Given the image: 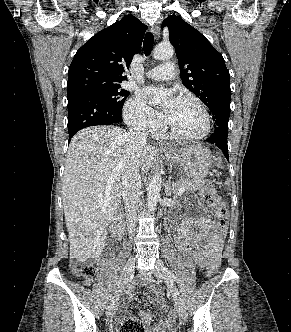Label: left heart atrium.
I'll list each match as a JSON object with an SVG mask.
<instances>
[{
	"mask_svg": "<svg viewBox=\"0 0 291 332\" xmlns=\"http://www.w3.org/2000/svg\"><path fill=\"white\" fill-rule=\"evenodd\" d=\"M141 94H142V97L146 101H149V102L158 96H161V95L167 96L168 99H167L165 105L161 108L160 112L158 113L160 117L167 120L171 107L177 101L173 92L170 90L161 88V87H148V88H145Z\"/></svg>",
	"mask_w": 291,
	"mask_h": 332,
	"instance_id": "1",
	"label": "left heart atrium"
}]
</instances>
